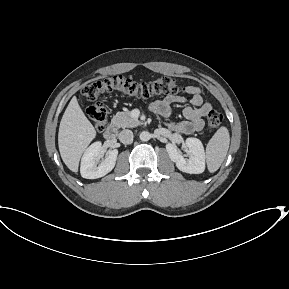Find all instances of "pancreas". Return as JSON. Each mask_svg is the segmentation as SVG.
<instances>
[{
  "mask_svg": "<svg viewBox=\"0 0 289 289\" xmlns=\"http://www.w3.org/2000/svg\"><path fill=\"white\" fill-rule=\"evenodd\" d=\"M112 123L117 128H133L141 124V122L131 116L130 111L118 112L112 118Z\"/></svg>",
  "mask_w": 289,
  "mask_h": 289,
  "instance_id": "pancreas-1",
  "label": "pancreas"
}]
</instances>
